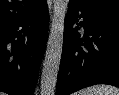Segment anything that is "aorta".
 Instances as JSON below:
<instances>
[{
  "instance_id": "aorta-1",
  "label": "aorta",
  "mask_w": 119,
  "mask_h": 95,
  "mask_svg": "<svg viewBox=\"0 0 119 95\" xmlns=\"http://www.w3.org/2000/svg\"><path fill=\"white\" fill-rule=\"evenodd\" d=\"M53 20L43 62L41 95H54L61 61L64 21L69 0H54Z\"/></svg>"
}]
</instances>
